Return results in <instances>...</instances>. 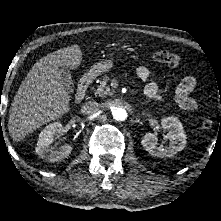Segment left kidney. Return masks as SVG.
<instances>
[{
  "label": "left kidney",
  "instance_id": "obj_1",
  "mask_svg": "<svg viewBox=\"0 0 221 221\" xmlns=\"http://www.w3.org/2000/svg\"><path fill=\"white\" fill-rule=\"evenodd\" d=\"M162 128L167 130L168 146H158L157 136L146 133L141 141L143 148L152 156L158 158L172 157L182 151L186 145V134L180 120L176 117H164L161 120Z\"/></svg>",
  "mask_w": 221,
  "mask_h": 221
}]
</instances>
